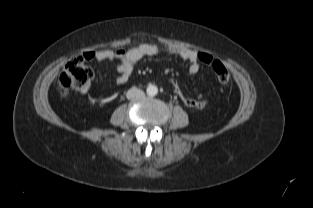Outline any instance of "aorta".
Here are the masks:
<instances>
[{
    "instance_id": "1",
    "label": "aorta",
    "mask_w": 313,
    "mask_h": 208,
    "mask_svg": "<svg viewBox=\"0 0 313 208\" xmlns=\"http://www.w3.org/2000/svg\"><path fill=\"white\" fill-rule=\"evenodd\" d=\"M157 93H158V88H157V86H155V85H149V86L147 87V94H148L149 96H155V95H157Z\"/></svg>"
}]
</instances>
